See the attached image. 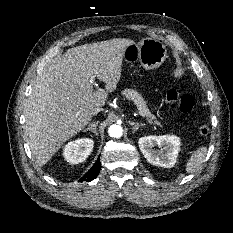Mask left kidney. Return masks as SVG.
Returning <instances> with one entry per match:
<instances>
[{"label": "left kidney", "mask_w": 233, "mask_h": 233, "mask_svg": "<svg viewBox=\"0 0 233 233\" xmlns=\"http://www.w3.org/2000/svg\"><path fill=\"white\" fill-rule=\"evenodd\" d=\"M146 160L153 165L171 168L175 165L180 149V138L175 135L144 136L138 141ZM154 147L161 148L156 150Z\"/></svg>", "instance_id": "left-kidney-1"}]
</instances>
